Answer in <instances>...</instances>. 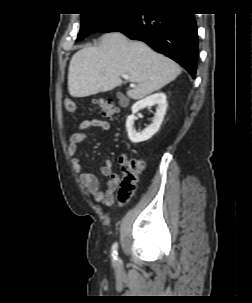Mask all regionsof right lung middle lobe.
<instances>
[{
  "label": "right lung middle lobe",
  "instance_id": "right-lung-middle-lobe-1",
  "mask_svg": "<svg viewBox=\"0 0 252 303\" xmlns=\"http://www.w3.org/2000/svg\"><path fill=\"white\" fill-rule=\"evenodd\" d=\"M127 11L128 10L121 12L82 14L81 29L76 41L82 40L93 32H99L102 28L118 19Z\"/></svg>",
  "mask_w": 252,
  "mask_h": 303
}]
</instances>
